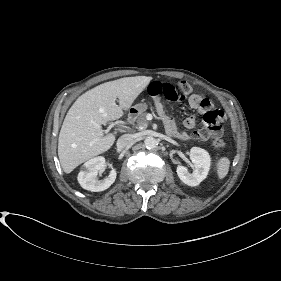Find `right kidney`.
Here are the masks:
<instances>
[{
  "label": "right kidney",
  "mask_w": 281,
  "mask_h": 281,
  "mask_svg": "<svg viewBox=\"0 0 281 281\" xmlns=\"http://www.w3.org/2000/svg\"><path fill=\"white\" fill-rule=\"evenodd\" d=\"M104 166L105 158L102 156L92 158L85 162L78 174V182L81 187L92 192L104 191L109 188L115 182L117 173L113 168L108 177L103 180H98V172L102 170Z\"/></svg>",
  "instance_id": "right-kidney-1"
}]
</instances>
